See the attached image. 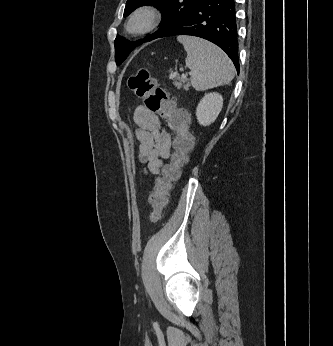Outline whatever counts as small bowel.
Listing matches in <instances>:
<instances>
[{
	"instance_id": "1",
	"label": "small bowel",
	"mask_w": 333,
	"mask_h": 346,
	"mask_svg": "<svg viewBox=\"0 0 333 346\" xmlns=\"http://www.w3.org/2000/svg\"><path fill=\"white\" fill-rule=\"evenodd\" d=\"M133 118L136 124L134 134L139 141V155L147 165V171L157 175L163 161L172 151V135L166 124L144 106L135 108Z\"/></svg>"
}]
</instances>
